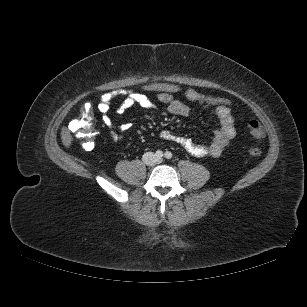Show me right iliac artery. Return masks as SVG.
I'll return each instance as SVG.
<instances>
[{
    "instance_id": "82829eb1",
    "label": "right iliac artery",
    "mask_w": 307,
    "mask_h": 307,
    "mask_svg": "<svg viewBox=\"0 0 307 307\" xmlns=\"http://www.w3.org/2000/svg\"><path fill=\"white\" fill-rule=\"evenodd\" d=\"M155 156L157 159H161L163 157V152L161 150L156 151Z\"/></svg>"
}]
</instances>
